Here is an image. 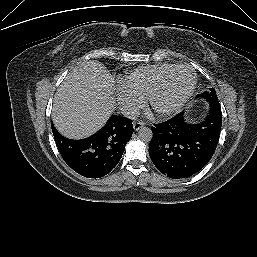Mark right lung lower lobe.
<instances>
[{
	"label": "right lung lower lobe",
	"instance_id": "1",
	"mask_svg": "<svg viewBox=\"0 0 257 257\" xmlns=\"http://www.w3.org/2000/svg\"><path fill=\"white\" fill-rule=\"evenodd\" d=\"M52 131L58 150L69 167L84 177L100 178L118 164L134 129L132 120L113 115L103 128L86 139H68L53 124Z\"/></svg>",
	"mask_w": 257,
	"mask_h": 257
}]
</instances>
